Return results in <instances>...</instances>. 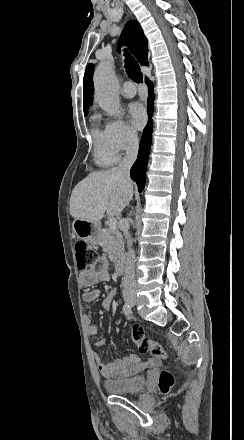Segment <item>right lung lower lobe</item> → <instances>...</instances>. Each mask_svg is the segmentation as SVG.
<instances>
[{
  "label": "right lung lower lobe",
  "mask_w": 244,
  "mask_h": 440,
  "mask_svg": "<svg viewBox=\"0 0 244 440\" xmlns=\"http://www.w3.org/2000/svg\"><path fill=\"white\" fill-rule=\"evenodd\" d=\"M145 83L148 86L149 95H148V102H147V111H148V123L146 127L144 128L140 146H139V152H138V158L134 165L131 168L130 176L133 181H135L138 185V190L141 192L145 186V180H146V169H147V162H148V155L151 147V133H152V123H151V117L153 115L154 111V91H153V84L150 80L146 79Z\"/></svg>",
  "instance_id": "98d812e1"
}]
</instances>
